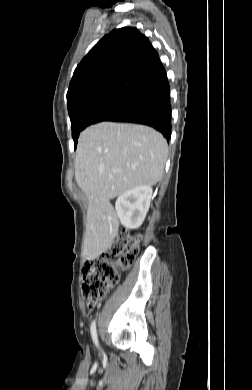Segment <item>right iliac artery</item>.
<instances>
[{
	"mask_svg": "<svg viewBox=\"0 0 252 390\" xmlns=\"http://www.w3.org/2000/svg\"><path fill=\"white\" fill-rule=\"evenodd\" d=\"M90 330H91L92 339H93L95 345L98 347L99 344H98V337H97V331H96V323H95V321H93V322L91 323Z\"/></svg>",
	"mask_w": 252,
	"mask_h": 390,
	"instance_id": "1",
	"label": "right iliac artery"
}]
</instances>
